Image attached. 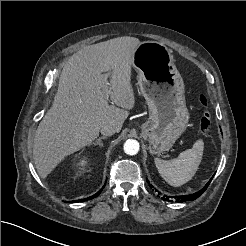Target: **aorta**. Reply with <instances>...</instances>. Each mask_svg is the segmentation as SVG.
<instances>
[{"mask_svg":"<svg viewBox=\"0 0 246 246\" xmlns=\"http://www.w3.org/2000/svg\"><path fill=\"white\" fill-rule=\"evenodd\" d=\"M139 142L134 139H128L124 143V151L128 155H135L139 151Z\"/></svg>","mask_w":246,"mask_h":246,"instance_id":"aorta-1","label":"aorta"}]
</instances>
